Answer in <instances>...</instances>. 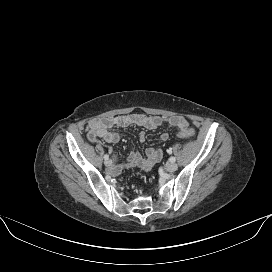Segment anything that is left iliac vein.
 Listing matches in <instances>:
<instances>
[{
  "label": "left iliac vein",
  "instance_id": "4c4485c4",
  "mask_svg": "<svg viewBox=\"0 0 272 272\" xmlns=\"http://www.w3.org/2000/svg\"><path fill=\"white\" fill-rule=\"evenodd\" d=\"M178 168L177 164L174 162L167 163L165 169L167 172H174Z\"/></svg>",
  "mask_w": 272,
  "mask_h": 272
}]
</instances>
